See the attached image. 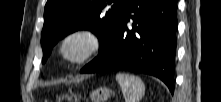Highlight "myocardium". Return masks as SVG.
Listing matches in <instances>:
<instances>
[{
    "mask_svg": "<svg viewBox=\"0 0 221 102\" xmlns=\"http://www.w3.org/2000/svg\"><path fill=\"white\" fill-rule=\"evenodd\" d=\"M72 41H79L82 50L78 56L71 58L67 55L66 48ZM102 46L103 39L97 31L89 27H78L65 35L61 42L60 54L65 62L71 65H81L97 55Z\"/></svg>",
    "mask_w": 221,
    "mask_h": 102,
    "instance_id": "obj_1",
    "label": "myocardium"
}]
</instances>
